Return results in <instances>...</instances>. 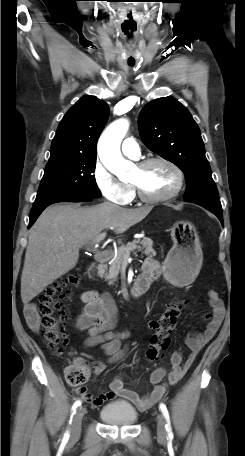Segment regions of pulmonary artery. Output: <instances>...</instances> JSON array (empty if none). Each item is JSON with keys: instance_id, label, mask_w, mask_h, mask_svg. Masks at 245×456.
Instances as JSON below:
<instances>
[{"instance_id": "pulmonary-artery-1", "label": "pulmonary artery", "mask_w": 245, "mask_h": 456, "mask_svg": "<svg viewBox=\"0 0 245 456\" xmlns=\"http://www.w3.org/2000/svg\"><path fill=\"white\" fill-rule=\"evenodd\" d=\"M121 150H122L124 155H126V156H128L130 158H133V159H137L140 156L139 144L132 137L126 138L122 142Z\"/></svg>"}]
</instances>
